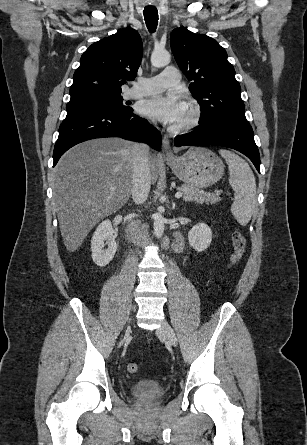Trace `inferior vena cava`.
Returning a JSON list of instances; mask_svg holds the SVG:
<instances>
[{"label":"inferior vena cava","mask_w":307,"mask_h":445,"mask_svg":"<svg viewBox=\"0 0 307 445\" xmlns=\"http://www.w3.org/2000/svg\"><path fill=\"white\" fill-rule=\"evenodd\" d=\"M133 176L132 198L135 204H141L147 200L150 192L151 176L149 170V146L143 142H133Z\"/></svg>","instance_id":"obj_1"}]
</instances>
